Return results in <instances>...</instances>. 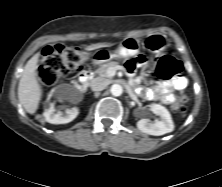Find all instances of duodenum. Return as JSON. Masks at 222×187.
Listing matches in <instances>:
<instances>
[{
  "mask_svg": "<svg viewBox=\"0 0 222 187\" xmlns=\"http://www.w3.org/2000/svg\"><path fill=\"white\" fill-rule=\"evenodd\" d=\"M92 76L93 73L91 71L89 70L83 71L80 74L79 81L81 82L82 85H85L92 78Z\"/></svg>",
  "mask_w": 222,
  "mask_h": 187,
  "instance_id": "duodenum-1",
  "label": "duodenum"
}]
</instances>
